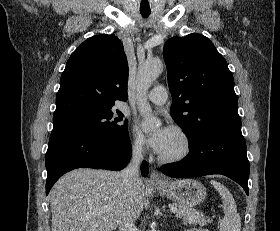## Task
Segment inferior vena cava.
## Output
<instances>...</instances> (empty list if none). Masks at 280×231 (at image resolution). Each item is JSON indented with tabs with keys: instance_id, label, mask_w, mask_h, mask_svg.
Returning <instances> with one entry per match:
<instances>
[{
	"instance_id": "obj_1",
	"label": "inferior vena cava",
	"mask_w": 280,
	"mask_h": 231,
	"mask_svg": "<svg viewBox=\"0 0 280 231\" xmlns=\"http://www.w3.org/2000/svg\"><path fill=\"white\" fill-rule=\"evenodd\" d=\"M143 159L142 155V143H134L132 147V157L129 165L121 171V177L123 181V185H127V183H133V181H139V167L140 163ZM119 231H138L136 225H134L133 219L130 217H124L122 221L119 223Z\"/></svg>"
}]
</instances>
